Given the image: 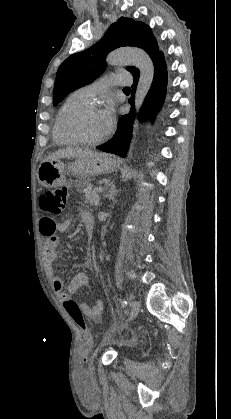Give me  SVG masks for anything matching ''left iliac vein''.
<instances>
[{"label":"left iliac vein","mask_w":231,"mask_h":419,"mask_svg":"<svg viewBox=\"0 0 231 419\" xmlns=\"http://www.w3.org/2000/svg\"><path fill=\"white\" fill-rule=\"evenodd\" d=\"M130 305H131V309L127 318L128 322L134 320L137 317L140 310V304L136 300H132L130 302Z\"/></svg>","instance_id":"left-iliac-vein-1"}]
</instances>
